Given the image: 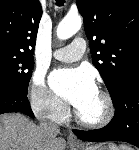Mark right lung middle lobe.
<instances>
[{"mask_svg":"<svg viewBox=\"0 0 139 150\" xmlns=\"http://www.w3.org/2000/svg\"><path fill=\"white\" fill-rule=\"evenodd\" d=\"M33 67L32 55L0 49V86L27 92Z\"/></svg>","mask_w":139,"mask_h":150,"instance_id":"dd1d6c3e","label":"right lung middle lobe"}]
</instances>
